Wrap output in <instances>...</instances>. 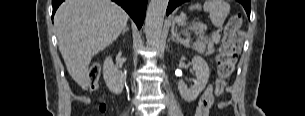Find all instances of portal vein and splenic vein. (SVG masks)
I'll list each match as a JSON object with an SVG mask.
<instances>
[{
  "label": "portal vein and splenic vein",
  "mask_w": 305,
  "mask_h": 116,
  "mask_svg": "<svg viewBox=\"0 0 305 116\" xmlns=\"http://www.w3.org/2000/svg\"><path fill=\"white\" fill-rule=\"evenodd\" d=\"M197 25H198V27H200L201 30H206L207 29V25L206 24L198 23ZM185 42H188V40H186Z\"/></svg>",
  "instance_id": "1"
}]
</instances>
